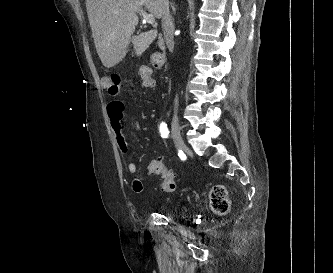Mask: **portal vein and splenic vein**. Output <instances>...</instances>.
<instances>
[{"instance_id": "obj_1", "label": "portal vein and splenic vein", "mask_w": 333, "mask_h": 273, "mask_svg": "<svg viewBox=\"0 0 333 273\" xmlns=\"http://www.w3.org/2000/svg\"><path fill=\"white\" fill-rule=\"evenodd\" d=\"M139 11L142 14L145 22H147L148 24H151V25H153L155 23V17L153 16V14H147V13H145V11H143V9H140Z\"/></svg>"}]
</instances>
